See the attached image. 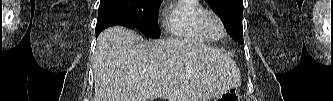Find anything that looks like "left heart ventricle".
Here are the masks:
<instances>
[{"label": "left heart ventricle", "instance_id": "obj_1", "mask_svg": "<svg viewBox=\"0 0 333 101\" xmlns=\"http://www.w3.org/2000/svg\"><path fill=\"white\" fill-rule=\"evenodd\" d=\"M207 26H208L210 32L212 33V35L217 36V37L221 35V27H220L218 21L214 17L209 16L207 18Z\"/></svg>", "mask_w": 333, "mask_h": 101}]
</instances>
